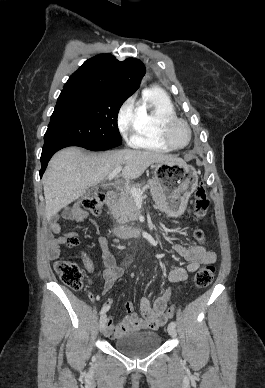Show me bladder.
I'll use <instances>...</instances> for the list:
<instances>
[{
  "mask_svg": "<svg viewBox=\"0 0 265 388\" xmlns=\"http://www.w3.org/2000/svg\"><path fill=\"white\" fill-rule=\"evenodd\" d=\"M161 339L157 331L135 332L116 338L115 347L127 356L141 357L154 352L159 347Z\"/></svg>",
  "mask_w": 265,
  "mask_h": 388,
  "instance_id": "1",
  "label": "bladder"
}]
</instances>
